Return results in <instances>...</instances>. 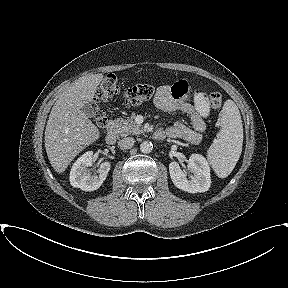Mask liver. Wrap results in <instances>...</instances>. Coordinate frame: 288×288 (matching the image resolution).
<instances>
[{"instance_id":"obj_1","label":"liver","mask_w":288,"mask_h":288,"mask_svg":"<svg viewBox=\"0 0 288 288\" xmlns=\"http://www.w3.org/2000/svg\"><path fill=\"white\" fill-rule=\"evenodd\" d=\"M102 80L101 73L79 78L52 107L44 139L48 159L57 173H63L83 149L100 137L99 129L82 108L93 101Z\"/></svg>"}]
</instances>
